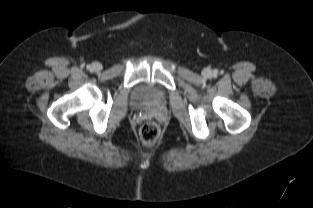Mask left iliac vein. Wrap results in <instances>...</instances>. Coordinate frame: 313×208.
<instances>
[{
    "label": "left iliac vein",
    "instance_id": "1",
    "mask_svg": "<svg viewBox=\"0 0 313 208\" xmlns=\"http://www.w3.org/2000/svg\"><path fill=\"white\" fill-rule=\"evenodd\" d=\"M204 75H205V76H209V75H210V71L206 70V71L204 72Z\"/></svg>",
    "mask_w": 313,
    "mask_h": 208
}]
</instances>
